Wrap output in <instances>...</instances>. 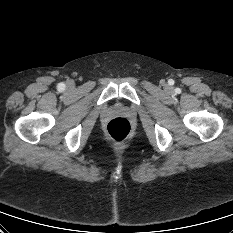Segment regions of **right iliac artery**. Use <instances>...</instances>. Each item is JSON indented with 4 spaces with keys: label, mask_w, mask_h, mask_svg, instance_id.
<instances>
[{
    "label": "right iliac artery",
    "mask_w": 233,
    "mask_h": 233,
    "mask_svg": "<svg viewBox=\"0 0 233 233\" xmlns=\"http://www.w3.org/2000/svg\"><path fill=\"white\" fill-rule=\"evenodd\" d=\"M64 87H65L64 84H60V85H59V89H61V90L64 89Z\"/></svg>",
    "instance_id": "82829eb1"
}]
</instances>
